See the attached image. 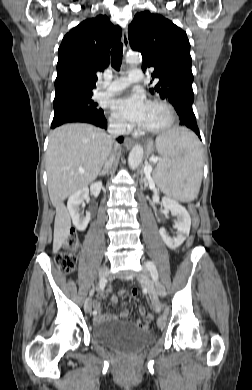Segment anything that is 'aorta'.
<instances>
[{
	"mask_svg": "<svg viewBox=\"0 0 252 390\" xmlns=\"http://www.w3.org/2000/svg\"><path fill=\"white\" fill-rule=\"evenodd\" d=\"M128 63L137 64L141 62V57L138 54H130L126 57ZM143 158V148L139 145H136L132 148L128 156L129 167L134 170L136 169Z\"/></svg>",
	"mask_w": 252,
	"mask_h": 390,
	"instance_id": "aorta-1",
	"label": "aorta"
}]
</instances>
